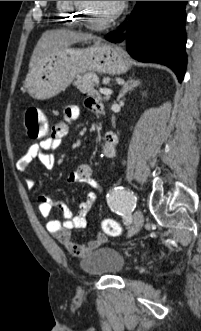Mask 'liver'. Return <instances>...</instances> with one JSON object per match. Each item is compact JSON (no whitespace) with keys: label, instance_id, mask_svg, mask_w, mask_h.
Masks as SVG:
<instances>
[{"label":"liver","instance_id":"6515ba94","mask_svg":"<svg viewBox=\"0 0 201 331\" xmlns=\"http://www.w3.org/2000/svg\"><path fill=\"white\" fill-rule=\"evenodd\" d=\"M92 34L74 32L66 29L49 30L42 34L32 53L29 68L33 69L44 58H47L62 48L81 41L97 40Z\"/></svg>","mask_w":201,"mask_h":331}]
</instances>
